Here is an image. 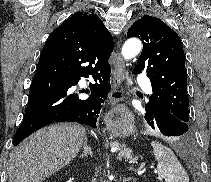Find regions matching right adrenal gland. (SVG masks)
Returning <instances> with one entry per match:
<instances>
[{
    "instance_id": "1",
    "label": "right adrenal gland",
    "mask_w": 211,
    "mask_h": 182,
    "mask_svg": "<svg viewBox=\"0 0 211 182\" xmlns=\"http://www.w3.org/2000/svg\"><path fill=\"white\" fill-rule=\"evenodd\" d=\"M87 139L84 141V144H83V151L82 153L80 154V158H84V157H88V155L92 156L93 152H92V149L91 147L87 144Z\"/></svg>"
}]
</instances>
